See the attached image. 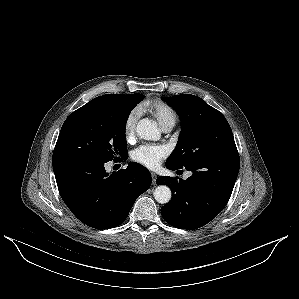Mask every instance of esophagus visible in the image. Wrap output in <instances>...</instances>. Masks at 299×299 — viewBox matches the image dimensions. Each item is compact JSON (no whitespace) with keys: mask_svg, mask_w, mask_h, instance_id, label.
Returning <instances> with one entry per match:
<instances>
[{"mask_svg":"<svg viewBox=\"0 0 299 299\" xmlns=\"http://www.w3.org/2000/svg\"><path fill=\"white\" fill-rule=\"evenodd\" d=\"M151 177H152V184L155 185L156 184L157 175L152 172L151 173Z\"/></svg>","mask_w":299,"mask_h":299,"instance_id":"1","label":"esophagus"}]
</instances>
